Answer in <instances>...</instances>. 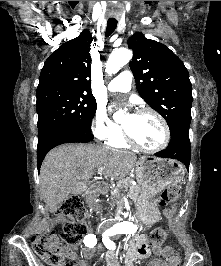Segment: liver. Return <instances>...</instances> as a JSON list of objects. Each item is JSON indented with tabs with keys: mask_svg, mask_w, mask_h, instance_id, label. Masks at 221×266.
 Wrapping results in <instances>:
<instances>
[{
	"mask_svg": "<svg viewBox=\"0 0 221 266\" xmlns=\"http://www.w3.org/2000/svg\"><path fill=\"white\" fill-rule=\"evenodd\" d=\"M131 152L93 144H65L52 149L40 169V188L46 209L53 212L71 193L86 190L95 168L104 177L123 179L137 164Z\"/></svg>",
	"mask_w": 221,
	"mask_h": 266,
	"instance_id": "6515ba94",
	"label": "liver"
}]
</instances>
